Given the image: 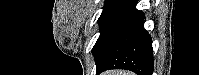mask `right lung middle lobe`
I'll return each mask as SVG.
<instances>
[{
    "instance_id": "right-lung-middle-lobe-1",
    "label": "right lung middle lobe",
    "mask_w": 199,
    "mask_h": 75,
    "mask_svg": "<svg viewBox=\"0 0 199 75\" xmlns=\"http://www.w3.org/2000/svg\"><path fill=\"white\" fill-rule=\"evenodd\" d=\"M127 3L128 1L126 0H118L116 2L106 3L104 5L102 14L98 20L100 36L92 49V53H94L99 47L107 29L120 14V12L126 7Z\"/></svg>"
}]
</instances>
